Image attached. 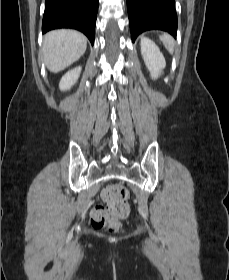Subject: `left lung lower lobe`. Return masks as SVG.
<instances>
[{
    "label": "left lung lower lobe",
    "mask_w": 229,
    "mask_h": 280,
    "mask_svg": "<svg viewBox=\"0 0 229 280\" xmlns=\"http://www.w3.org/2000/svg\"><path fill=\"white\" fill-rule=\"evenodd\" d=\"M127 9L133 42L140 33L152 29L176 37L175 0H127Z\"/></svg>",
    "instance_id": "0a47b994"
}]
</instances>
